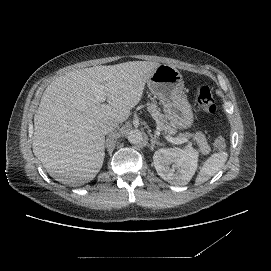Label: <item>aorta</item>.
Wrapping results in <instances>:
<instances>
[{
	"label": "aorta",
	"instance_id": "762f6f07",
	"mask_svg": "<svg viewBox=\"0 0 271 271\" xmlns=\"http://www.w3.org/2000/svg\"><path fill=\"white\" fill-rule=\"evenodd\" d=\"M128 141L131 143V144H139L143 141V134L140 130H131L129 133H128Z\"/></svg>",
	"mask_w": 271,
	"mask_h": 271
}]
</instances>
